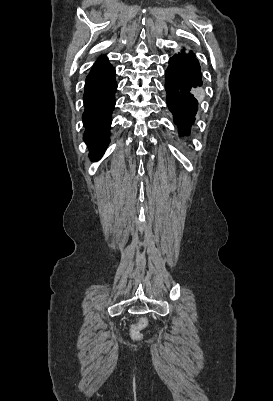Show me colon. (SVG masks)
<instances>
[{
    "label": "colon",
    "mask_w": 273,
    "mask_h": 401,
    "mask_svg": "<svg viewBox=\"0 0 273 401\" xmlns=\"http://www.w3.org/2000/svg\"><path fill=\"white\" fill-rule=\"evenodd\" d=\"M150 325V322L148 319H140L138 322H136V325L133 327V329H130L128 332V335L131 339L132 342H139L143 339V336L141 335L140 328H148Z\"/></svg>",
    "instance_id": "obj_1"
}]
</instances>
